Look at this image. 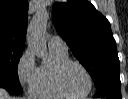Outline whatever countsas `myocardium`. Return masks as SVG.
<instances>
[{
  "instance_id": "f54148a6",
  "label": "myocardium",
  "mask_w": 128,
  "mask_h": 99,
  "mask_svg": "<svg viewBox=\"0 0 128 99\" xmlns=\"http://www.w3.org/2000/svg\"><path fill=\"white\" fill-rule=\"evenodd\" d=\"M70 65H77V66H79L83 70V72L86 74V76H87L88 88H87V90L83 94H80V95L71 94L64 87L63 75H64L65 70ZM55 81H56V85H57L58 90L63 95H65L66 97H69V98H72V99H82V98L87 97L91 93L92 87H93V79H92V76H91L89 70L81 62L76 61V60H71V59L66 60L65 62H63L62 64H60L58 66V68L56 69Z\"/></svg>"
}]
</instances>
